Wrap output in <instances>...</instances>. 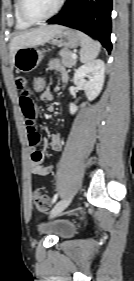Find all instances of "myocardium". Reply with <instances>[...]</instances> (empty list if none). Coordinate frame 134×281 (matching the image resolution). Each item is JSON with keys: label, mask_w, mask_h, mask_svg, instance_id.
<instances>
[{"label": "myocardium", "mask_w": 134, "mask_h": 281, "mask_svg": "<svg viewBox=\"0 0 134 281\" xmlns=\"http://www.w3.org/2000/svg\"><path fill=\"white\" fill-rule=\"evenodd\" d=\"M66 0H59L56 8L49 13L48 15L44 16V17H33L30 14H28V12L25 9V0H18V10H19V14L21 16V18L30 23V24H39L42 22H45L49 19H51L52 17H54L55 15H57L61 9L63 8L64 4H65Z\"/></svg>", "instance_id": "f54148a6"}]
</instances>
